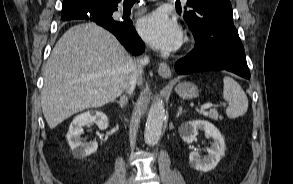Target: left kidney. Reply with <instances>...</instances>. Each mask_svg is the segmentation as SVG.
Listing matches in <instances>:
<instances>
[{
    "instance_id": "5707ae66",
    "label": "left kidney",
    "mask_w": 293,
    "mask_h": 184,
    "mask_svg": "<svg viewBox=\"0 0 293 184\" xmlns=\"http://www.w3.org/2000/svg\"><path fill=\"white\" fill-rule=\"evenodd\" d=\"M198 130H203L206 135L213 139V142L211 147L207 148L208 156L200 159L199 153L192 151L189 155V160L196 170L208 172L213 170L224 156L225 142L219 130L212 123L204 120L189 121L183 124L179 129V133L183 141L189 144L197 136Z\"/></svg>"
}]
</instances>
